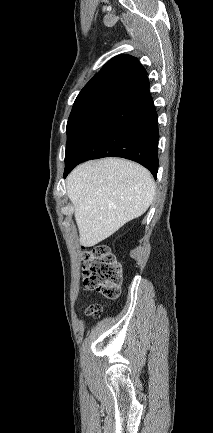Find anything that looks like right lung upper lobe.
Returning a JSON list of instances; mask_svg holds the SVG:
<instances>
[{
    "mask_svg": "<svg viewBox=\"0 0 213 433\" xmlns=\"http://www.w3.org/2000/svg\"><path fill=\"white\" fill-rule=\"evenodd\" d=\"M146 75V70L137 58L130 55L116 56L85 85L76 100L105 93L120 94Z\"/></svg>",
    "mask_w": 213,
    "mask_h": 433,
    "instance_id": "right-lung-upper-lobe-1",
    "label": "right lung upper lobe"
}]
</instances>
